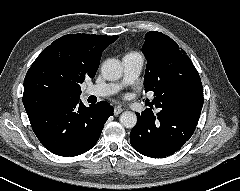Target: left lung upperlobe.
<instances>
[{
	"label": "left lung upper lobe",
	"instance_id": "obj_1",
	"mask_svg": "<svg viewBox=\"0 0 240 191\" xmlns=\"http://www.w3.org/2000/svg\"><path fill=\"white\" fill-rule=\"evenodd\" d=\"M142 52L147 59L145 91H152L155 96L152 105L170 106L193 89L202 90L204 99L197 70L174 40L161 32H147Z\"/></svg>",
	"mask_w": 240,
	"mask_h": 191
}]
</instances>
